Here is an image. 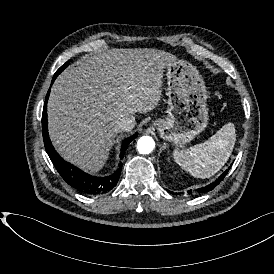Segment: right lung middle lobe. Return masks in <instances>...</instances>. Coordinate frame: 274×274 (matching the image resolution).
Wrapping results in <instances>:
<instances>
[{"mask_svg":"<svg viewBox=\"0 0 274 274\" xmlns=\"http://www.w3.org/2000/svg\"><path fill=\"white\" fill-rule=\"evenodd\" d=\"M68 65H69V61H67L62 67L58 69L57 74H60Z\"/></svg>","mask_w":274,"mask_h":274,"instance_id":"1","label":"right lung middle lobe"}]
</instances>
